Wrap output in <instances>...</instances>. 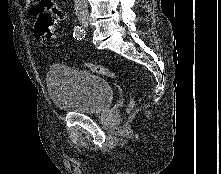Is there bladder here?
Returning a JSON list of instances; mask_svg holds the SVG:
<instances>
[{
    "mask_svg": "<svg viewBox=\"0 0 221 174\" xmlns=\"http://www.w3.org/2000/svg\"><path fill=\"white\" fill-rule=\"evenodd\" d=\"M52 103L63 110L95 114L108 109L114 91L103 77L63 64L52 65L46 77Z\"/></svg>",
    "mask_w": 221,
    "mask_h": 174,
    "instance_id": "31cf9c89",
    "label": "bladder"
}]
</instances>
